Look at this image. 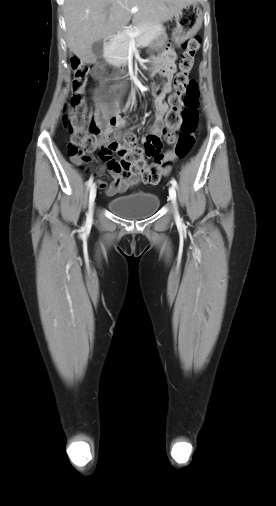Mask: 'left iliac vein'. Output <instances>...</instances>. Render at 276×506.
I'll return each mask as SVG.
<instances>
[{
    "mask_svg": "<svg viewBox=\"0 0 276 506\" xmlns=\"http://www.w3.org/2000/svg\"><path fill=\"white\" fill-rule=\"evenodd\" d=\"M169 197H170V200L172 201L173 205L176 206V190L173 186H171L169 188ZM175 213H176V215L178 214L176 207H175Z\"/></svg>",
    "mask_w": 276,
    "mask_h": 506,
    "instance_id": "obj_1",
    "label": "left iliac vein"
}]
</instances>
